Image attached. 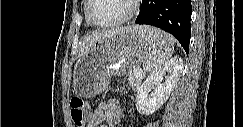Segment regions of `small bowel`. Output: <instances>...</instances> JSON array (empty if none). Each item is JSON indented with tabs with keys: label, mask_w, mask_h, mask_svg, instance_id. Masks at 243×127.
<instances>
[{
	"label": "small bowel",
	"mask_w": 243,
	"mask_h": 127,
	"mask_svg": "<svg viewBox=\"0 0 243 127\" xmlns=\"http://www.w3.org/2000/svg\"><path fill=\"white\" fill-rule=\"evenodd\" d=\"M122 117L120 104L116 100L100 103L91 114L87 127H99L104 123L117 126Z\"/></svg>",
	"instance_id": "1"
}]
</instances>
